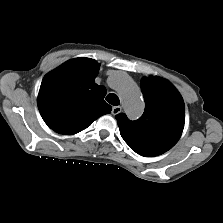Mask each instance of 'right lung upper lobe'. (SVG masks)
Returning a JSON list of instances; mask_svg holds the SVG:
<instances>
[{
  "label": "right lung upper lobe",
  "mask_w": 223,
  "mask_h": 223,
  "mask_svg": "<svg viewBox=\"0 0 223 223\" xmlns=\"http://www.w3.org/2000/svg\"><path fill=\"white\" fill-rule=\"evenodd\" d=\"M99 68L93 59L75 58L45 75L37 103L51 129L75 134L111 112L112 107L104 101L106 89L94 82Z\"/></svg>",
  "instance_id": "1"
}]
</instances>
